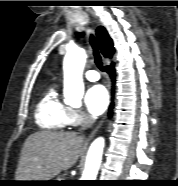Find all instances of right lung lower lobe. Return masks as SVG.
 Returning <instances> with one entry per match:
<instances>
[{"label": "right lung lower lobe", "instance_id": "1", "mask_svg": "<svg viewBox=\"0 0 178 186\" xmlns=\"http://www.w3.org/2000/svg\"><path fill=\"white\" fill-rule=\"evenodd\" d=\"M106 72L109 74L110 78L112 79V81H115V70H114V65L111 66H107L106 67ZM112 109H113V103H111L110 107H109V115L111 116L112 113Z\"/></svg>", "mask_w": 178, "mask_h": 186}]
</instances>
